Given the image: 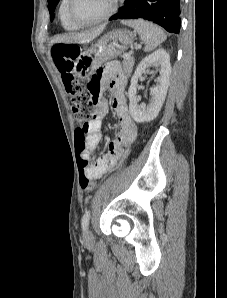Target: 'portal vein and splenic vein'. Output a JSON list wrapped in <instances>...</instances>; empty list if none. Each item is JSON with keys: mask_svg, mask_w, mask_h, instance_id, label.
Here are the masks:
<instances>
[{"mask_svg": "<svg viewBox=\"0 0 227 298\" xmlns=\"http://www.w3.org/2000/svg\"><path fill=\"white\" fill-rule=\"evenodd\" d=\"M131 53H125L124 58H130Z\"/></svg>", "mask_w": 227, "mask_h": 298, "instance_id": "obj_1", "label": "portal vein and splenic vein"}]
</instances>
